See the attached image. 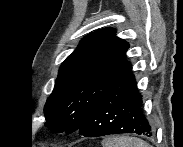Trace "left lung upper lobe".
I'll list each match as a JSON object with an SVG mask.
<instances>
[{
  "instance_id": "5c2ea615",
  "label": "left lung upper lobe",
  "mask_w": 183,
  "mask_h": 147,
  "mask_svg": "<svg viewBox=\"0 0 183 147\" xmlns=\"http://www.w3.org/2000/svg\"><path fill=\"white\" fill-rule=\"evenodd\" d=\"M129 44L113 28L95 31L62 63L44 112L53 132L77 131L101 96L127 75L132 65L125 59Z\"/></svg>"
}]
</instances>
